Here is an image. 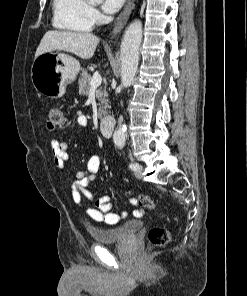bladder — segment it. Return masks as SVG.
Instances as JSON below:
<instances>
[{
    "label": "bladder",
    "instance_id": "31cf9c89",
    "mask_svg": "<svg viewBox=\"0 0 247 296\" xmlns=\"http://www.w3.org/2000/svg\"><path fill=\"white\" fill-rule=\"evenodd\" d=\"M144 226L141 220H130L123 225L113 227L89 226L88 231L95 242L113 243L123 241L135 235Z\"/></svg>",
    "mask_w": 247,
    "mask_h": 296
}]
</instances>
